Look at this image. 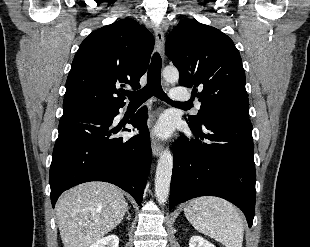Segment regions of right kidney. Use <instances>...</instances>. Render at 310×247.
Masks as SVG:
<instances>
[{
    "instance_id": "right-kidney-1",
    "label": "right kidney",
    "mask_w": 310,
    "mask_h": 247,
    "mask_svg": "<svg viewBox=\"0 0 310 247\" xmlns=\"http://www.w3.org/2000/svg\"><path fill=\"white\" fill-rule=\"evenodd\" d=\"M89 247H119V238L116 235H109L97 240Z\"/></svg>"
}]
</instances>
